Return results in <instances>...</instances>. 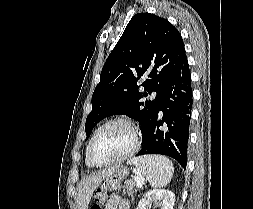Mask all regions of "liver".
I'll return each mask as SVG.
<instances>
[{
    "label": "liver",
    "mask_w": 253,
    "mask_h": 209,
    "mask_svg": "<svg viewBox=\"0 0 253 209\" xmlns=\"http://www.w3.org/2000/svg\"><path fill=\"white\" fill-rule=\"evenodd\" d=\"M114 170L115 168L101 170L96 172L95 174L83 178L80 181L76 199L79 209H88V205L94 190L105 178L110 176L114 172Z\"/></svg>",
    "instance_id": "liver-1"
}]
</instances>
